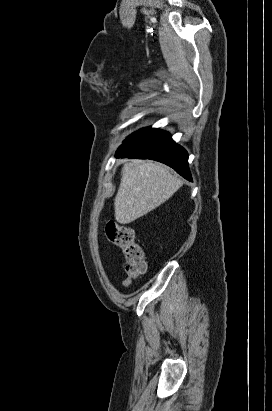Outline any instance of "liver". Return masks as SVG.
<instances>
[{"label":"liver","instance_id":"1","mask_svg":"<svg viewBox=\"0 0 272 411\" xmlns=\"http://www.w3.org/2000/svg\"><path fill=\"white\" fill-rule=\"evenodd\" d=\"M183 182L162 164L145 160L127 162L114 199L115 220L128 224L167 201Z\"/></svg>","mask_w":272,"mask_h":411}]
</instances>
